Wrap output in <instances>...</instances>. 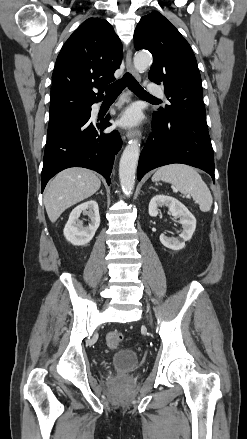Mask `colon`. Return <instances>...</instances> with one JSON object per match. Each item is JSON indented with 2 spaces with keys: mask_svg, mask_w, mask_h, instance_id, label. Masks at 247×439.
<instances>
[{
  "mask_svg": "<svg viewBox=\"0 0 247 439\" xmlns=\"http://www.w3.org/2000/svg\"><path fill=\"white\" fill-rule=\"evenodd\" d=\"M123 341V336L119 332H111L106 337V343L109 348L117 349L120 347Z\"/></svg>",
  "mask_w": 247,
  "mask_h": 439,
  "instance_id": "5ec220e1",
  "label": "colon"
}]
</instances>
